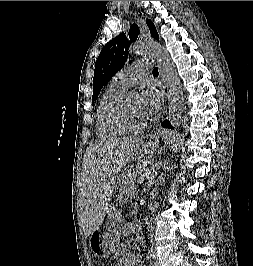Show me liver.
<instances>
[{"mask_svg":"<svg viewBox=\"0 0 253 266\" xmlns=\"http://www.w3.org/2000/svg\"><path fill=\"white\" fill-rule=\"evenodd\" d=\"M143 142L140 137H125L87 148L81 189V220L86 237L102 223L109 210L119 172L134 159Z\"/></svg>","mask_w":253,"mask_h":266,"instance_id":"liver-1","label":"liver"}]
</instances>
